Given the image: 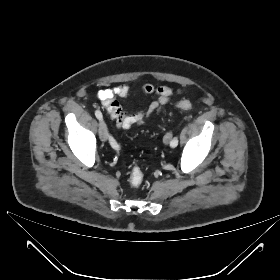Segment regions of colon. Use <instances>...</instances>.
<instances>
[{"mask_svg":"<svg viewBox=\"0 0 280 280\" xmlns=\"http://www.w3.org/2000/svg\"><path fill=\"white\" fill-rule=\"evenodd\" d=\"M178 107L183 110H190L192 108V103L188 100H181L178 102ZM144 179L142 170L139 167H134L130 175V184L132 187L137 188L141 186Z\"/></svg>","mask_w":280,"mask_h":280,"instance_id":"obj_1","label":"colon"}]
</instances>
